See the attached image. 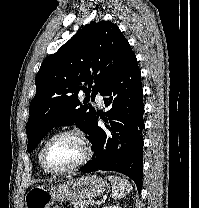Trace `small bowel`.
<instances>
[{
	"label": "small bowel",
	"instance_id": "1",
	"mask_svg": "<svg viewBox=\"0 0 199 208\" xmlns=\"http://www.w3.org/2000/svg\"><path fill=\"white\" fill-rule=\"evenodd\" d=\"M53 208H64V207H61V206H54Z\"/></svg>",
	"mask_w": 199,
	"mask_h": 208
}]
</instances>
